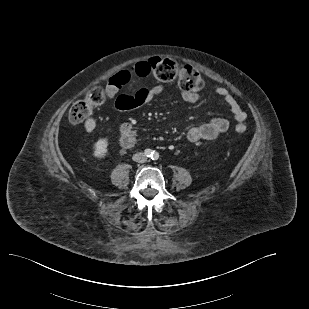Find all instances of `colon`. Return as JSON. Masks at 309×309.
<instances>
[{"label":"colon","mask_w":309,"mask_h":309,"mask_svg":"<svg viewBox=\"0 0 309 309\" xmlns=\"http://www.w3.org/2000/svg\"><path fill=\"white\" fill-rule=\"evenodd\" d=\"M151 72L163 82L177 81L183 92H197L204 88L200 73L189 65H182L170 58H152L148 61ZM105 101L104 90L100 87L91 89L83 100L75 102L70 111L69 119L74 124L83 123L88 119L94 108ZM238 133H244L246 126L238 123L235 126Z\"/></svg>","instance_id":"obj_1"}]
</instances>
